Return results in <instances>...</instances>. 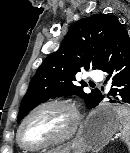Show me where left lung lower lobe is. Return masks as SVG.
Instances as JSON below:
<instances>
[{
    "mask_svg": "<svg viewBox=\"0 0 130 153\" xmlns=\"http://www.w3.org/2000/svg\"><path fill=\"white\" fill-rule=\"evenodd\" d=\"M100 70L107 73L112 84L108 94L110 102L130 104V38L126 30L113 41ZM102 99L101 94L91 107H96Z\"/></svg>",
    "mask_w": 130,
    "mask_h": 153,
    "instance_id": "obj_1",
    "label": "left lung lower lobe"
}]
</instances>
